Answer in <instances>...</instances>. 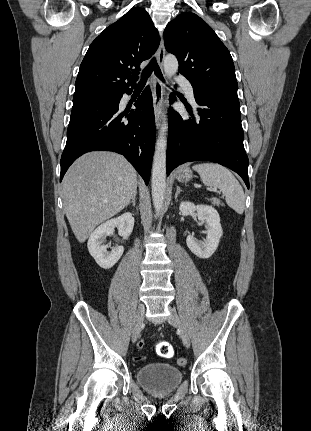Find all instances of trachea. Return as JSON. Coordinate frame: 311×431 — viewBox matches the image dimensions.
<instances>
[{
	"instance_id": "obj_1",
	"label": "trachea",
	"mask_w": 311,
	"mask_h": 431,
	"mask_svg": "<svg viewBox=\"0 0 311 431\" xmlns=\"http://www.w3.org/2000/svg\"><path fill=\"white\" fill-rule=\"evenodd\" d=\"M152 71H154L155 75L161 80L164 81L165 80L162 76L161 70L159 68V65L157 64V60L155 57H153L149 64L145 67V69L142 71L141 74V80H140V84H145L147 79L149 78V76L151 75Z\"/></svg>"
}]
</instances>
